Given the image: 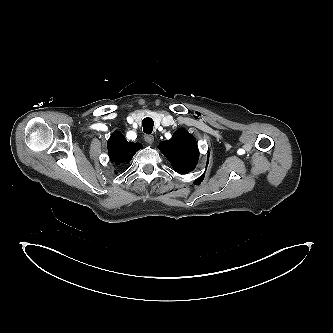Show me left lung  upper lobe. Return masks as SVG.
I'll return each instance as SVG.
<instances>
[{
	"label": "left lung upper lobe",
	"instance_id": "1",
	"mask_svg": "<svg viewBox=\"0 0 333 333\" xmlns=\"http://www.w3.org/2000/svg\"><path fill=\"white\" fill-rule=\"evenodd\" d=\"M158 148L179 174L191 172L198 161L199 151L195 138L185 129H178L170 140L162 141Z\"/></svg>",
	"mask_w": 333,
	"mask_h": 333
}]
</instances>
